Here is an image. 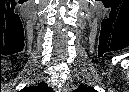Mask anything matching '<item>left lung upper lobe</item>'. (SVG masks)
<instances>
[{
    "mask_svg": "<svg viewBox=\"0 0 129 92\" xmlns=\"http://www.w3.org/2000/svg\"><path fill=\"white\" fill-rule=\"evenodd\" d=\"M76 91H80V92H95V89L88 88L87 86H81Z\"/></svg>",
    "mask_w": 129,
    "mask_h": 92,
    "instance_id": "5c2ea615",
    "label": "left lung upper lobe"
}]
</instances>
